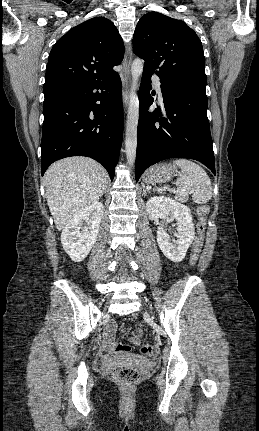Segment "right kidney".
<instances>
[{"instance_id": "ca27d5eb", "label": "right kidney", "mask_w": 259, "mask_h": 431, "mask_svg": "<svg viewBox=\"0 0 259 431\" xmlns=\"http://www.w3.org/2000/svg\"><path fill=\"white\" fill-rule=\"evenodd\" d=\"M103 211V204L96 202L74 215L63 229L61 243L72 260L80 262L89 254L99 233ZM84 222L87 226L83 228Z\"/></svg>"}]
</instances>
